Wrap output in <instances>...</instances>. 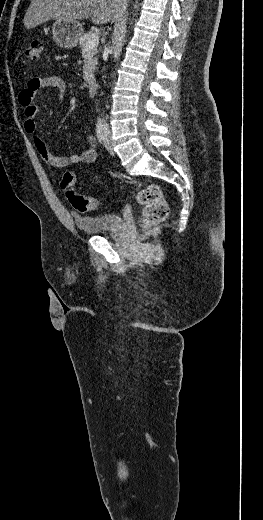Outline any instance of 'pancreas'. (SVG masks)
Returning <instances> with one entry per match:
<instances>
[{
	"label": "pancreas",
	"instance_id": "pancreas-1",
	"mask_svg": "<svg viewBox=\"0 0 263 520\" xmlns=\"http://www.w3.org/2000/svg\"><path fill=\"white\" fill-rule=\"evenodd\" d=\"M93 34L94 32L92 31L84 33L79 39L80 49L82 50V55L84 57V80L88 83L94 79V70L97 66V45L93 48H88L87 43Z\"/></svg>",
	"mask_w": 263,
	"mask_h": 520
}]
</instances>
